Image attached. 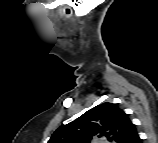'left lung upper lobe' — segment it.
<instances>
[{"instance_id": "5c2ea615", "label": "left lung upper lobe", "mask_w": 158, "mask_h": 143, "mask_svg": "<svg viewBox=\"0 0 158 143\" xmlns=\"http://www.w3.org/2000/svg\"><path fill=\"white\" fill-rule=\"evenodd\" d=\"M96 137H106L114 143H134L138 134L128 115L117 104L106 102L59 127L48 143H90Z\"/></svg>"}]
</instances>
